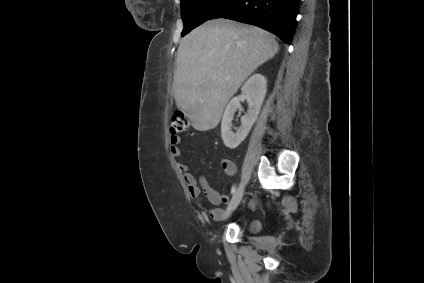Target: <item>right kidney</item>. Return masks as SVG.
<instances>
[{"mask_svg": "<svg viewBox=\"0 0 424 283\" xmlns=\"http://www.w3.org/2000/svg\"><path fill=\"white\" fill-rule=\"evenodd\" d=\"M241 90L243 96L235 97L227 104L221 122L222 140L230 149H234L242 143L256 122L267 92V80L263 75L256 73L244 83ZM243 100L248 103V111L241 118L239 130L234 133L231 130L232 120Z\"/></svg>", "mask_w": 424, "mask_h": 283, "instance_id": "1", "label": "right kidney"}]
</instances>
